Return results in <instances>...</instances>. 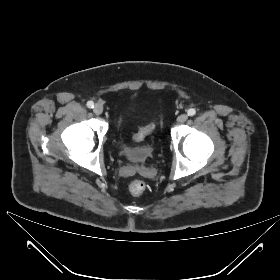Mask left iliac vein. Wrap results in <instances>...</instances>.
Wrapping results in <instances>:
<instances>
[{
  "mask_svg": "<svg viewBox=\"0 0 280 280\" xmlns=\"http://www.w3.org/2000/svg\"><path fill=\"white\" fill-rule=\"evenodd\" d=\"M187 119H188V115L184 113V114H181L180 116H178L177 122L184 123Z\"/></svg>",
  "mask_w": 280,
  "mask_h": 280,
  "instance_id": "4c4485c4",
  "label": "left iliac vein"
}]
</instances>
